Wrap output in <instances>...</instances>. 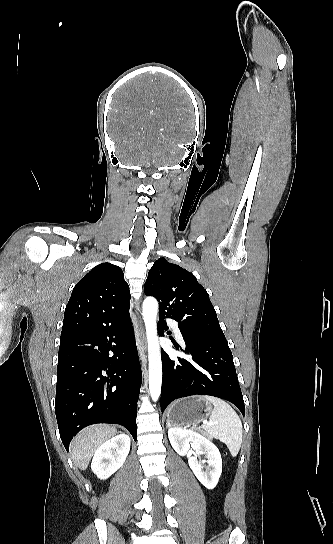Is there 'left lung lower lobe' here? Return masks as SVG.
Instances as JSON below:
<instances>
[{
	"mask_svg": "<svg viewBox=\"0 0 333 544\" xmlns=\"http://www.w3.org/2000/svg\"><path fill=\"white\" fill-rule=\"evenodd\" d=\"M165 315L159 314L160 336L168 329L164 320ZM180 332L186 345L184 352L192 358L189 360L181 357L170 358L162 350L161 411L164 412L177 398L210 395L230 401L244 416L243 396L226 338L206 333L185 332L182 329ZM174 346L180 350L177 344L174 343Z\"/></svg>",
	"mask_w": 333,
	"mask_h": 544,
	"instance_id": "left-lung-lower-lobe-1",
	"label": "left lung lower lobe"
}]
</instances>
